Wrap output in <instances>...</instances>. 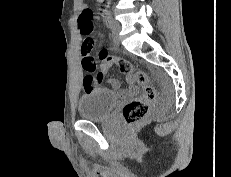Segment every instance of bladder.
I'll use <instances>...</instances> for the list:
<instances>
[{"mask_svg": "<svg viewBox=\"0 0 231 177\" xmlns=\"http://www.w3.org/2000/svg\"><path fill=\"white\" fill-rule=\"evenodd\" d=\"M117 100V95L109 89H93L79 98L78 115L87 121L105 120L111 114Z\"/></svg>", "mask_w": 231, "mask_h": 177, "instance_id": "31cf9c89", "label": "bladder"}]
</instances>
